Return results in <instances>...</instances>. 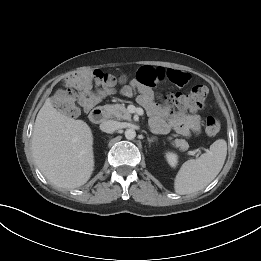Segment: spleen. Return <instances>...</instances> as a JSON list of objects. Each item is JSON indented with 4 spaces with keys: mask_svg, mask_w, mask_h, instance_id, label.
Listing matches in <instances>:
<instances>
[{
    "mask_svg": "<svg viewBox=\"0 0 261 261\" xmlns=\"http://www.w3.org/2000/svg\"><path fill=\"white\" fill-rule=\"evenodd\" d=\"M227 155V142L218 139L197 159L183 163L174 180L177 194L195 193L210 184L221 171Z\"/></svg>",
    "mask_w": 261,
    "mask_h": 261,
    "instance_id": "spleen-1",
    "label": "spleen"
}]
</instances>
